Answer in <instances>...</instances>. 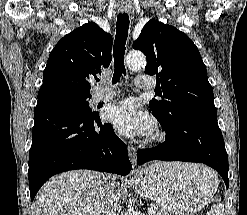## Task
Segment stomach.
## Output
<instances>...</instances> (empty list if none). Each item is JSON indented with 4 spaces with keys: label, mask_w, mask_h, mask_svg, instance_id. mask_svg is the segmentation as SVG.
I'll use <instances>...</instances> for the list:
<instances>
[{
    "label": "stomach",
    "mask_w": 247,
    "mask_h": 215,
    "mask_svg": "<svg viewBox=\"0 0 247 215\" xmlns=\"http://www.w3.org/2000/svg\"><path fill=\"white\" fill-rule=\"evenodd\" d=\"M192 165L155 162L140 171L135 189L171 215H192L207 204L217 188L216 177L205 171L207 167L193 169Z\"/></svg>",
    "instance_id": "obj_1"
}]
</instances>
